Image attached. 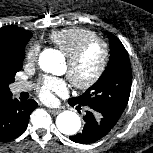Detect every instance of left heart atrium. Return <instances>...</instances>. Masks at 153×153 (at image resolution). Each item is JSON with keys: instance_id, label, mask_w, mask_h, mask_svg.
Instances as JSON below:
<instances>
[{"instance_id": "39dd6f15", "label": "left heart atrium", "mask_w": 153, "mask_h": 153, "mask_svg": "<svg viewBox=\"0 0 153 153\" xmlns=\"http://www.w3.org/2000/svg\"><path fill=\"white\" fill-rule=\"evenodd\" d=\"M37 91L44 102L52 103L56 95L64 96L67 94L68 85L62 78L46 76L39 82Z\"/></svg>"}]
</instances>
